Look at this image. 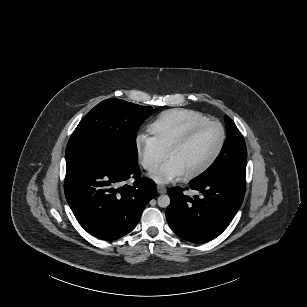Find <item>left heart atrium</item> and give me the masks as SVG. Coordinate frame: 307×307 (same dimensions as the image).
<instances>
[{"mask_svg":"<svg viewBox=\"0 0 307 307\" xmlns=\"http://www.w3.org/2000/svg\"><path fill=\"white\" fill-rule=\"evenodd\" d=\"M152 176L158 183H168L184 177V174L176 165L167 161Z\"/></svg>","mask_w":307,"mask_h":307,"instance_id":"obj_1","label":"left heart atrium"}]
</instances>
